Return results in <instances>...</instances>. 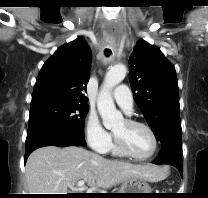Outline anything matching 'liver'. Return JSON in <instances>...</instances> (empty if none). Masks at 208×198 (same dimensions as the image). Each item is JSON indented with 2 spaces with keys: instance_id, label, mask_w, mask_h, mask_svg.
<instances>
[{
  "instance_id": "6515ba94",
  "label": "liver",
  "mask_w": 208,
  "mask_h": 198,
  "mask_svg": "<svg viewBox=\"0 0 208 198\" xmlns=\"http://www.w3.org/2000/svg\"><path fill=\"white\" fill-rule=\"evenodd\" d=\"M164 177V170L151 164L112 161L77 146L39 148L25 170L29 194H67L69 184L84 179L91 187L110 188L131 178L155 182Z\"/></svg>"
}]
</instances>
